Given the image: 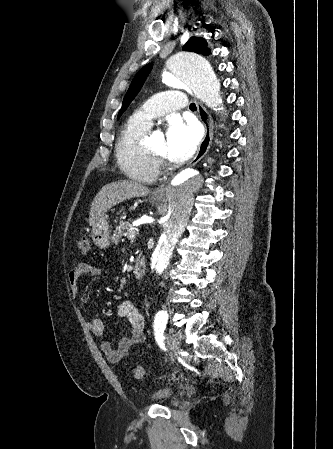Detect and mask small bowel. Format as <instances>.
I'll return each instance as SVG.
<instances>
[{
    "instance_id": "obj_1",
    "label": "small bowel",
    "mask_w": 333,
    "mask_h": 449,
    "mask_svg": "<svg viewBox=\"0 0 333 449\" xmlns=\"http://www.w3.org/2000/svg\"><path fill=\"white\" fill-rule=\"evenodd\" d=\"M84 274H91L94 277H98L102 274V270L87 262L78 263L68 273V283L72 294H77L79 289V279ZM117 314L127 321L130 327V332L122 335L116 348L112 347L108 340H103L100 343L102 352L111 363L120 362L129 353L132 347L140 345L145 341L144 316L131 301L125 300L120 302L117 305ZM88 326L95 336H104L106 328L101 320L92 318L88 322Z\"/></svg>"
}]
</instances>
